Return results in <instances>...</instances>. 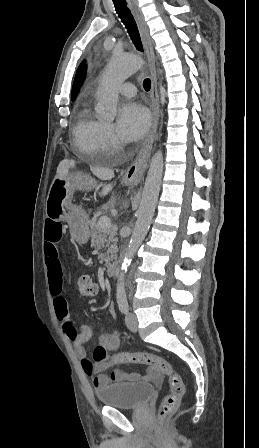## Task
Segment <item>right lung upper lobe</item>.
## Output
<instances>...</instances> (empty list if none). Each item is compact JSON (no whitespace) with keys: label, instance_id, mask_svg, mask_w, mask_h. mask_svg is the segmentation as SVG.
I'll list each match as a JSON object with an SVG mask.
<instances>
[{"label":"right lung upper lobe","instance_id":"obj_1","mask_svg":"<svg viewBox=\"0 0 259 448\" xmlns=\"http://www.w3.org/2000/svg\"><path fill=\"white\" fill-rule=\"evenodd\" d=\"M85 67H86L85 62H82L80 64V66L78 67V70L76 72V76H75V79H74V84H73V87H72V95H71L72 99H74L77 96L79 88L81 87V85H82V83L84 81L85 74H86Z\"/></svg>","mask_w":259,"mask_h":448}]
</instances>
